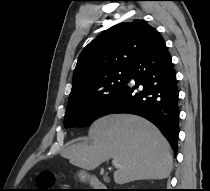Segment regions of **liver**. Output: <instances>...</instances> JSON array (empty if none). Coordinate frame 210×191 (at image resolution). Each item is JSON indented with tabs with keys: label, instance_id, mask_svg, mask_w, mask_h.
I'll return each instance as SVG.
<instances>
[{
	"label": "liver",
	"instance_id": "1",
	"mask_svg": "<svg viewBox=\"0 0 210 191\" xmlns=\"http://www.w3.org/2000/svg\"><path fill=\"white\" fill-rule=\"evenodd\" d=\"M91 144H72L61 155L75 166L94 170L110 158L120 164L114 181L165 179L173 157L161 132L149 121L130 114H113L96 120L90 127Z\"/></svg>",
	"mask_w": 210,
	"mask_h": 191
}]
</instances>
